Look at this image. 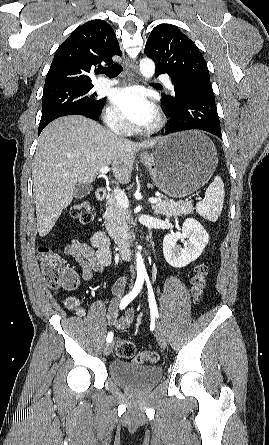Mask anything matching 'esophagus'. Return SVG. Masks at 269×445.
I'll return each mask as SVG.
<instances>
[{
	"mask_svg": "<svg viewBox=\"0 0 269 445\" xmlns=\"http://www.w3.org/2000/svg\"><path fill=\"white\" fill-rule=\"evenodd\" d=\"M126 70L131 76H137L138 75V68L137 65L132 61L127 59L125 61Z\"/></svg>",
	"mask_w": 269,
	"mask_h": 445,
	"instance_id": "34e87169",
	"label": "esophagus"
}]
</instances>
